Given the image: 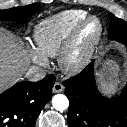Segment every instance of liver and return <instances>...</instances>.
Returning <instances> with one entry per match:
<instances>
[{
    "instance_id": "1",
    "label": "liver",
    "mask_w": 127,
    "mask_h": 127,
    "mask_svg": "<svg viewBox=\"0 0 127 127\" xmlns=\"http://www.w3.org/2000/svg\"><path fill=\"white\" fill-rule=\"evenodd\" d=\"M29 62L22 44L7 30L0 28V93L21 78Z\"/></svg>"
}]
</instances>
